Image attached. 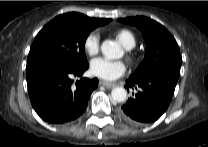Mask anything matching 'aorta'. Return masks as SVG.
I'll return each instance as SVG.
<instances>
[{
    "instance_id": "762f6f07",
    "label": "aorta",
    "mask_w": 208,
    "mask_h": 147,
    "mask_svg": "<svg viewBox=\"0 0 208 147\" xmlns=\"http://www.w3.org/2000/svg\"><path fill=\"white\" fill-rule=\"evenodd\" d=\"M101 52L107 59H119L123 55V50L119 43L112 40H105L101 45ZM127 92L122 87H115L111 91V98L115 102L125 101Z\"/></svg>"
}]
</instances>
